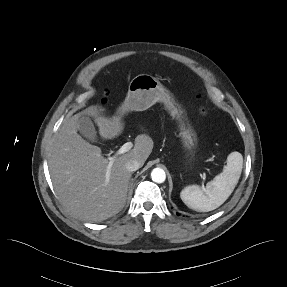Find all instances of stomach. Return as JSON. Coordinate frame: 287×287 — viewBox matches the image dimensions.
<instances>
[{"instance_id": "1", "label": "stomach", "mask_w": 287, "mask_h": 287, "mask_svg": "<svg viewBox=\"0 0 287 287\" xmlns=\"http://www.w3.org/2000/svg\"><path fill=\"white\" fill-rule=\"evenodd\" d=\"M156 102L164 103L171 117L178 121L182 144L189 151L188 155H192L197 144V137L186 119L185 110L176 103L169 90L152 75L139 74L131 80L127 96L119 108L118 114L123 115L129 111H144Z\"/></svg>"}]
</instances>
